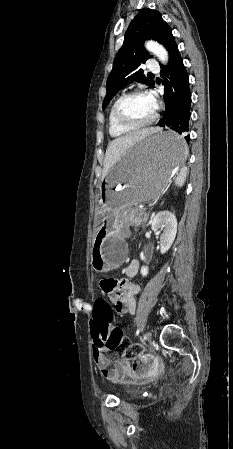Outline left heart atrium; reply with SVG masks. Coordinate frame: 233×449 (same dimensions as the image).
Here are the masks:
<instances>
[{
  "label": "left heart atrium",
  "mask_w": 233,
  "mask_h": 449,
  "mask_svg": "<svg viewBox=\"0 0 233 449\" xmlns=\"http://www.w3.org/2000/svg\"><path fill=\"white\" fill-rule=\"evenodd\" d=\"M152 100H153V102L155 101V99H154V97H153V95H151L150 94V96H149Z\"/></svg>",
  "instance_id": "left-heart-atrium-1"
}]
</instances>
